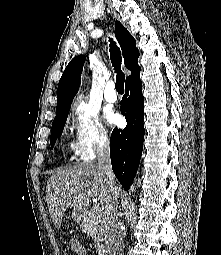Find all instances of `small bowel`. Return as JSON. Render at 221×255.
Wrapping results in <instances>:
<instances>
[{
    "label": "small bowel",
    "instance_id": "obj_1",
    "mask_svg": "<svg viewBox=\"0 0 221 255\" xmlns=\"http://www.w3.org/2000/svg\"><path fill=\"white\" fill-rule=\"evenodd\" d=\"M69 244H70L71 250L76 255H87L85 247L83 246V244L79 240H77L75 238H72V239H70Z\"/></svg>",
    "mask_w": 221,
    "mask_h": 255
}]
</instances>
